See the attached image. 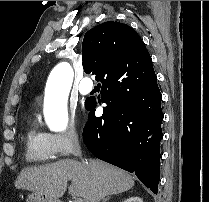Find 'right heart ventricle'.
Masks as SVG:
<instances>
[{"instance_id": "obj_1", "label": "right heart ventricle", "mask_w": 209, "mask_h": 202, "mask_svg": "<svg viewBox=\"0 0 209 202\" xmlns=\"http://www.w3.org/2000/svg\"><path fill=\"white\" fill-rule=\"evenodd\" d=\"M25 156L29 162H47L56 157L48 144L46 134L32 121L25 134Z\"/></svg>"}]
</instances>
